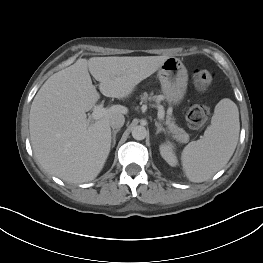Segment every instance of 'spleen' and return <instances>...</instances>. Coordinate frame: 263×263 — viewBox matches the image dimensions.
Masks as SVG:
<instances>
[{"instance_id": "3e777b00", "label": "spleen", "mask_w": 263, "mask_h": 263, "mask_svg": "<svg viewBox=\"0 0 263 263\" xmlns=\"http://www.w3.org/2000/svg\"><path fill=\"white\" fill-rule=\"evenodd\" d=\"M237 105L230 99L219 101L202 139L190 142L181 155L182 166L191 182H203L231 158L239 137Z\"/></svg>"}]
</instances>
